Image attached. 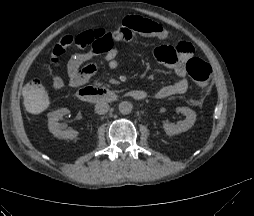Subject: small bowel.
<instances>
[{
  "label": "small bowel",
  "mask_w": 254,
  "mask_h": 216,
  "mask_svg": "<svg viewBox=\"0 0 254 216\" xmlns=\"http://www.w3.org/2000/svg\"><path fill=\"white\" fill-rule=\"evenodd\" d=\"M135 36L148 38L167 39L169 32L161 24L152 20L132 17L125 19L119 26V31L112 37L115 41L130 40ZM112 43L106 49H100L98 46L85 45L77 42V35L68 34L62 37L51 54L50 73L52 75V85L56 90L64 88L66 82L59 72L61 57L65 49L72 44H76L82 52L76 53L70 57L67 63L68 85L79 87L87 83L93 75L102 67L111 70L118 68V50ZM172 54L168 55L167 51ZM193 55V46L187 41H180L174 47L162 46L154 51L156 60L174 70L178 81L173 84L165 85L155 92V97L159 99L168 98L174 95L184 94L188 90V81L184 78L186 74L187 61ZM136 91L147 96V92L141 89Z\"/></svg>",
  "instance_id": "1"
}]
</instances>
